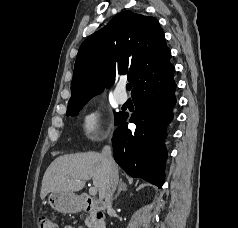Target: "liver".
Wrapping results in <instances>:
<instances>
[{
	"mask_svg": "<svg viewBox=\"0 0 238 228\" xmlns=\"http://www.w3.org/2000/svg\"><path fill=\"white\" fill-rule=\"evenodd\" d=\"M116 170L118 173L117 165ZM84 177L92 178L93 185L99 192V199L103 200L109 175L102 154L97 152L56 158L43 176L40 197L43 200L50 192L80 191L85 186Z\"/></svg>",
	"mask_w": 238,
	"mask_h": 228,
	"instance_id": "6515ba94",
	"label": "liver"
}]
</instances>
